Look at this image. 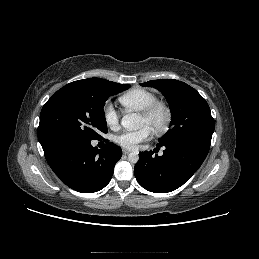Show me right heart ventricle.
Here are the masks:
<instances>
[{
    "instance_id": "1",
    "label": "right heart ventricle",
    "mask_w": 259,
    "mask_h": 259,
    "mask_svg": "<svg viewBox=\"0 0 259 259\" xmlns=\"http://www.w3.org/2000/svg\"><path fill=\"white\" fill-rule=\"evenodd\" d=\"M157 100L156 95L143 88H134L119 97V102L127 109L141 111L151 102Z\"/></svg>"
}]
</instances>
